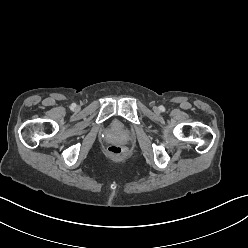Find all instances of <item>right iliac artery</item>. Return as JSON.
I'll return each mask as SVG.
<instances>
[{
    "label": "right iliac artery",
    "mask_w": 248,
    "mask_h": 248,
    "mask_svg": "<svg viewBox=\"0 0 248 248\" xmlns=\"http://www.w3.org/2000/svg\"><path fill=\"white\" fill-rule=\"evenodd\" d=\"M75 107H76V105L75 104H72L70 108L71 109H74Z\"/></svg>",
    "instance_id": "right-iliac-artery-1"
}]
</instances>
